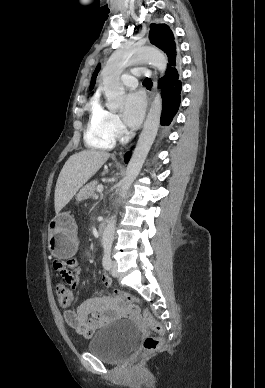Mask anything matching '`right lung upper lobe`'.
Here are the masks:
<instances>
[{"label":"right lung upper lobe","instance_id":"right-lung-upper-lobe-1","mask_svg":"<svg viewBox=\"0 0 265 388\" xmlns=\"http://www.w3.org/2000/svg\"><path fill=\"white\" fill-rule=\"evenodd\" d=\"M99 69H100V65L97 66V68L95 69L94 73H93V76H92V80H91V84H90V90L94 87L95 85V81H96V77H97V74L99 72Z\"/></svg>","mask_w":265,"mask_h":388}]
</instances>
